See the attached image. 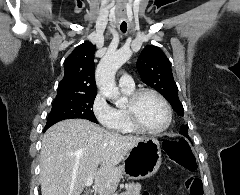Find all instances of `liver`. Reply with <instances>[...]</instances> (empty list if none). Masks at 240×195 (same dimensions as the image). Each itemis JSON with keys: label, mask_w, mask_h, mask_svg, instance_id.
I'll return each instance as SVG.
<instances>
[{"label": "liver", "mask_w": 240, "mask_h": 195, "mask_svg": "<svg viewBox=\"0 0 240 195\" xmlns=\"http://www.w3.org/2000/svg\"><path fill=\"white\" fill-rule=\"evenodd\" d=\"M141 139L108 131L88 119L58 121L42 139V195H80L91 177L100 195H111L123 177L118 163Z\"/></svg>", "instance_id": "liver-1"}]
</instances>
